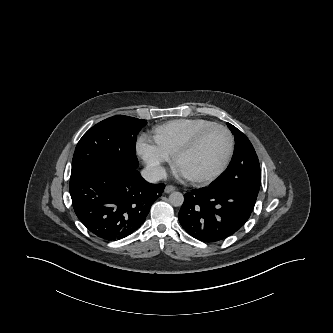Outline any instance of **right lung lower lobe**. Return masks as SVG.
<instances>
[{"mask_svg": "<svg viewBox=\"0 0 333 333\" xmlns=\"http://www.w3.org/2000/svg\"><path fill=\"white\" fill-rule=\"evenodd\" d=\"M164 187L146 182L136 169L91 171L70 179L69 184L77 217L92 234L106 241L135 232Z\"/></svg>", "mask_w": 333, "mask_h": 333, "instance_id": "98d812e1", "label": "right lung lower lobe"}]
</instances>
